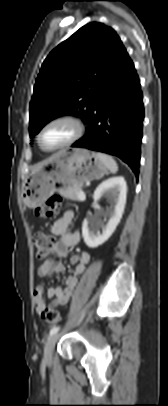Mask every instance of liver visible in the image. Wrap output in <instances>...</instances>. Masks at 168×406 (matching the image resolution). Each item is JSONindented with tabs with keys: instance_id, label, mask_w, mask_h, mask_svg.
Returning a JSON list of instances; mask_svg holds the SVG:
<instances>
[{
	"instance_id": "6515ba94",
	"label": "liver",
	"mask_w": 168,
	"mask_h": 406,
	"mask_svg": "<svg viewBox=\"0 0 168 406\" xmlns=\"http://www.w3.org/2000/svg\"><path fill=\"white\" fill-rule=\"evenodd\" d=\"M46 162V161H45ZM45 162H43V163H41V164H39V165H37V167L36 168H38V167H40L42 164H44Z\"/></svg>"
}]
</instances>
